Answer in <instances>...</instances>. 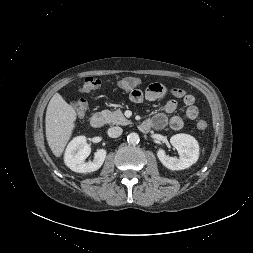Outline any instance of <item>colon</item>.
<instances>
[{
    "mask_svg": "<svg viewBox=\"0 0 253 253\" xmlns=\"http://www.w3.org/2000/svg\"><path fill=\"white\" fill-rule=\"evenodd\" d=\"M102 84V81L95 77L85 78L82 86V92H90L98 89ZM141 84V80L135 76H127L118 81V86L126 91H132L137 89ZM73 108L79 116H83L88 110V103L84 99H79L73 102ZM197 129L203 131L208 127V121L205 118H199L196 121Z\"/></svg>",
    "mask_w": 253,
    "mask_h": 253,
    "instance_id": "1",
    "label": "colon"
}]
</instances>
